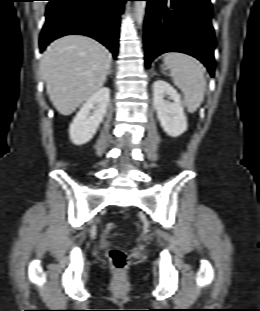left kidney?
<instances>
[{
  "label": "left kidney",
  "instance_id": "5707ae66",
  "mask_svg": "<svg viewBox=\"0 0 260 311\" xmlns=\"http://www.w3.org/2000/svg\"><path fill=\"white\" fill-rule=\"evenodd\" d=\"M168 96L172 102L164 97ZM153 106L163 130L171 137H178L187 130V119L178 92L167 82L153 83Z\"/></svg>",
  "mask_w": 260,
  "mask_h": 311
}]
</instances>
